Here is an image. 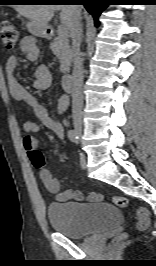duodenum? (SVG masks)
<instances>
[{
  "label": "duodenum",
  "mask_w": 156,
  "mask_h": 266,
  "mask_svg": "<svg viewBox=\"0 0 156 266\" xmlns=\"http://www.w3.org/2000/svg\"><path fill=\"white\" fill-rule=\"evenodd\" d=\"M53 35H54V33H53V31H52L51 29L46 30L45 36H46L47 38H52ZM61 82H62V86H63V88H64L67 92L71 91V89H72V84H73V78H72V75H71V74H68V73H67V74H64V75L62 76Z\"/></svg>",
  "instance_id": "duodenum-1"
}]
</instances>
